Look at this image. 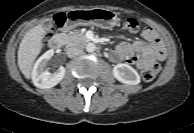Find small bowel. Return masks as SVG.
Returning <instances> with one entry per match:
<instances>
[{"label":"small bowel","mask_w":194,"mask_h":133,"mask_svg":"<svg viewBox=\"0 0 194 133\" xmlns=\"http://www.w3.org/2000/svg\"><path fill=\"white\" fill-rule=\"evenodd\" d=\"M144 40L122 42L109 54L114 62L133 63L140 70L151 68L157 60H163L165 49L157 32L151 27L142 30Z\"/></svg>","instance_id":"c3829d8e"}]
</instances>
